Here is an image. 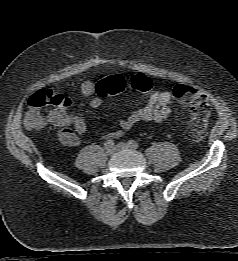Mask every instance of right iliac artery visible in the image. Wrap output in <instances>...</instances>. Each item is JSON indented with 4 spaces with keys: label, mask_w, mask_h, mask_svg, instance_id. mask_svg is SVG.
Wrapping results in <instances>:
<instances>
[{
    "label": "right iliac artery",
    "mask_w": 238,
    "mask_h": 261,
    "mask_svg": "<svg viewBox=\"0 0 238 261\" xmlns=\"http://www.w3.org/2000/svg\"><path fill=\"white\" fill-rule=\"evenodd\" d=\"M104 146L105 148L112 147L114 146V141L112 139H109L104 143Z\"/></svg>",
    "instance_id": "right-iliac-artery-1"
}]
</instances>
